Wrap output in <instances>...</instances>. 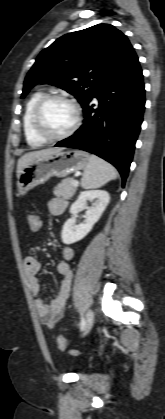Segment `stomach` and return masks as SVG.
Segmentation results:
<instances>
[{
	"label": "stomach",
	"mask_w": 165,
	"mask_h": 419,
	"mask_svg": "<svg viewBox=\"0 0 165 419\" xmlns=\"http://www.w3.org/2000/svg\"><path fill=\"white\" fill-rule=\"evenodd\" d=\"M90 155L81 150L59 151L36 157L22 170L18 177L17 191L25 195L29 190L44 184L51 177H65L82 170L88 164Z\"/></svg>",
	"instance_id": "0dacf381"
}]
</instances>
